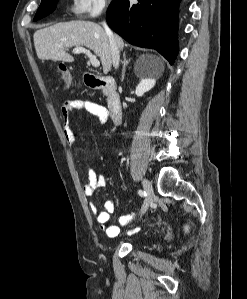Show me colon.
<instances>
[{
  "mask_svg": "<svg viewBox=\"0 0 247 299\" xmlns=\"http://www.w3.org/2000/svg\"><path fill=\"white\" fill-rule=\"evenodd\" d=\"M58 75L67 87L70 86L71 76H70V73L64 67H59Z\"/></svg>",
  "mask_w": 247,
  "mask_h": 299,
  "instance_id": "1",
  "label": "colon"
}]
</instances>
